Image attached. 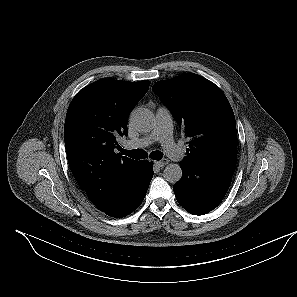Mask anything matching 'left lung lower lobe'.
<instances>
[{"instance_id": "0a47b994", "label": "left lung lower lobe", "mask_w": 297, "mask_h": 297, "mask_svg": "<svg viewBox=\"0 0 297 297\" xmlns=\"http://www.w3.org/2000/svg\"><path fill=\"white\" fill-rule=\"evenodd\" d=\"M180 167L182 179L173 187L179 204L193 215H204L216 208L229 189L232 175L219 180H205L196 178L192 169Z\"/></svg>"}]
</instances>
